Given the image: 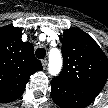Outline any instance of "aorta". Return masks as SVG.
Here are the masks:
<instances>
[{
    "label": "aorta",
    "instance_id": "762f6f07",
    "mask_svg": "<svg viewBox=\"0 0 108 108\" xmlns=\"http://www.w3.org/2000/svg\"><path fill=\"white\" fill-rule=\"evenodd\" d=\"M62 69V55L58 49H51L49 52L48 71L51 76H56Z\"/></svg>",
    "mask_w": 108,
    "mask_h": 108
}]
</instances>
